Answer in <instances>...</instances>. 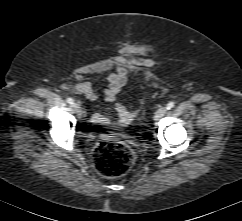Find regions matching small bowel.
Here are the masks:
<instances>
[{"label":"small bowel","mask_w":242,"mask_h":221,"mask_svg":"<svg viewBox=\"0 0 242 221\" xmlns=\"http://www.w3.org/2000/svg\"><path fill=\"white\" fill-rule=\"evenodd\" d=\"M126 80V59H120L117 63L116 71L107 77V87L103 91L94 89L89 81V77H82L77 83L72 85V90L77 94L85 95L94 102L104 100L112 103L115 101L121 87L126 83ZM115 111L123 115L124 108L121 105H116ZM91 125L94 128L107 130L110 126L109 118L100 112H95L91 115Z\"/></svg>","instance_id":"obj_1"}]
</instances>
